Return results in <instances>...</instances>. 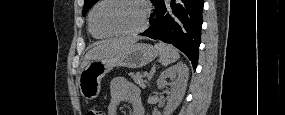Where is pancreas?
<instances>
[{
    "label": "pancreas",
    "instance_id": "cf45deb5",
    "mask_svg": "<svg viewBox=\"0 0 285 115\" xmlns=\"http://www.w3.org/2000/svg\"><path fill=\"white\" fill-rule=\"evenodd\" d=\"M129 76L134 80L136 84H138L141 88H145V83L147 82L144 80V76L141 73H129Z\"/></svg>",
    "mask_w": 285,
    "mask_h": 115
}]
</instances>
